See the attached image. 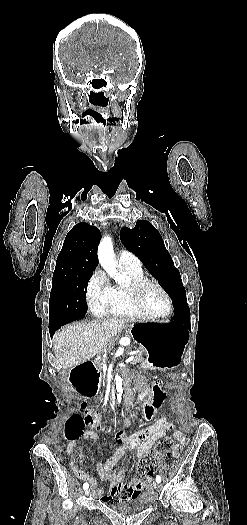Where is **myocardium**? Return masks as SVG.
Masks as SVG:
<instances>
[{"label": "myocardium", "mask_w": 247, "mask_h": 525, "mask_svg": "<svg viewBox=\"0 0 247 525\" xmlns=\"http://www.w3.org/2000/svg\"><path fill=\"white\" fill-rule=\"evenodd\" d=\"M147 283H152L156 285L162 291V293L164 294L166 298V302H167L166 308L162 310L161 312L154 313V312L149 311L142 302L140 292L143 286ZM126 288L129 290L133 298L135 307L139 311L144 313L147 317H154V319H161L170 314L172 307H173L171 296L166 290V288L157 279L142 277L139 280H135V281L128 280L126 284Z\"/></svg>", "instance_id": "obj_1"}]
</instances>
